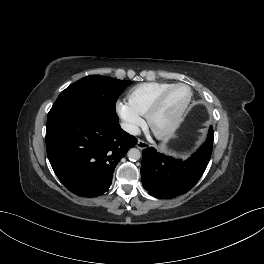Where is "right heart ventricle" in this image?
Instances as JSON below:
<instances>
[{"mask_svg":"<svg viewBox=\"0 0 264 264\" xmlns=\"http://www.w3.org/2000/svg\"><path fill=\"white\" fill-rule=\"evenodd\" d=\"M171 85L167 82H147L133 87L128 95V105L139 115H146L157 95Z\"/></svg>","mask_w":264,"mask_h":264,"instance_id":"e07e8e85","label":"right heart ventricle"}]
</instances>
